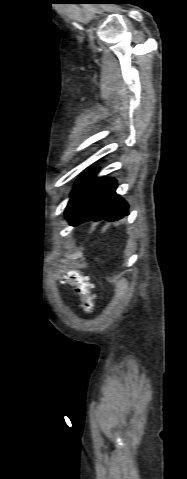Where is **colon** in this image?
Listing matches in <instances>:
<instances>
[{
    "instance_id": "1",
    "label": "colon",
    "mask_w": 187,
    "mask_h": 479,
    "mask_svg": "<svg viewBox=\"0 0 187 479\" xmlns=\"http://www.w3.org/2000/svg\"><path fill=\"white\" fill-rule=\"evenodd\" d=\"M74 281V290L81 297L82 308L87 314H91L94 309V295L90 292L88 284L84 279L75 274L71 275Z\"/></svg>"
}]
</instances>
